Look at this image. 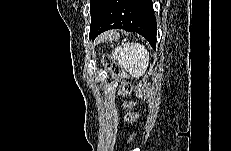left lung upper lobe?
I'll list each match as a JSON object with an SVG mask.
<instances>
[{
    "instance_id": "left-lung-upper-lobe-1",
    "label": "left lung upper lobe",
    "mask_w": 231,
    "mask_h": 151,
    "mask_svg": "<svg viewBox=\"0 0 231 151\" xmlns=\"http://www.w3.org/2000/svg\"><path fill=\"white\" fill-rule=\"evenodd\" d=\"M109 1L110 0H91L90 1V13H91L90 30L94 29L97 26Z\"/></svg>"
}]
</instances>
